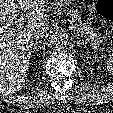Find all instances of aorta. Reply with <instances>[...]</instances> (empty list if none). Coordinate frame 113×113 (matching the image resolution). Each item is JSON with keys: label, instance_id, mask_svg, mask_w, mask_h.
<instances>
[{"label": "aorta", "instance_id": "762f6f07", "mask_svg": "<svg viewBox=\"0 0 113 113\" xmlns=\"http://www.w3.org/2000/svg\"><path fill=\"white\" fill-rule=\"evenodd\" d=\"M68 35L62 31L57 30L49 35L48 45L54 50L62 49L67 44Z\"/></svg>", "mask_w": 113, "mask_h": 113}]
</instances>
